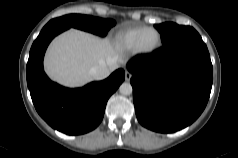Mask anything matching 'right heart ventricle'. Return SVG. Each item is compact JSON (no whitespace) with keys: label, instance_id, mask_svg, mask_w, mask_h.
<instances>
[{"label":"right heart ventricle","instance_id":"1","mask_svg":"<svg viewBox=\"0 0 238 158\" xmlns=\"http://www.w3.org/2000/svg\"><path fill=\"white\" fill-rule=\"evenodd\" d=\"M145 26H135L126 28L116 36V42L124 49H134L137 36L143 31Z\"/></svg>","mask_w":238,"mask_h":158}]
</instances>
